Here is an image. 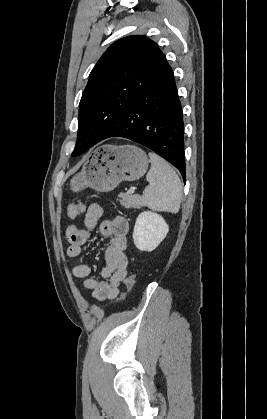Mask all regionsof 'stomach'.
Returning <instances> with one entry per match:
<instances>
[{
  "label": "stomach",
  "mask_w": 267,
  "mask_h": 419,
  "mask_svg": "<svg viewBox=\"0 0 267 419\" xmlns=\"http://www.w3.org/2000/svg\"><path fill=\"white\" fill-rule=\"evenodd\" d=\"M148 164L146 153L137 146L105 144L89 154L80 172L70 180V187L74 192L87 187L99 192L112 191L122 181L141 178Z\"/></svg>",
  "instance_id": "0dacf381"
}]
</instances>
